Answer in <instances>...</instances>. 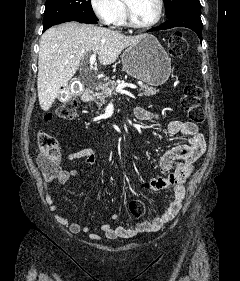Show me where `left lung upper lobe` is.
Listing matches in <instances>:
<instances>
[{
  "label": "left lung upper lobe",
  "mask_w": 240,
  "mask_h": 281,
  "mask_svg": "<svg viewBox=\"0 0 240 281\" xmlns=\"http://www.w3.org/2000/svg\"><path fill=\"white\" fill-rule=\"evenodd\" d=\"M167 18L184 11L200 12L201 4L199 0H164Z\"/></svg>",
  "instance_id": "5c2ea615"
}]
</instances>
